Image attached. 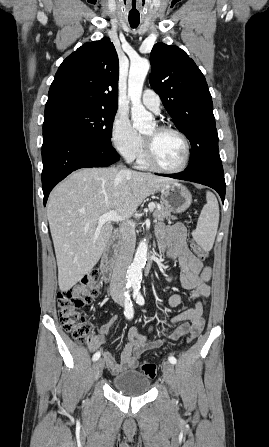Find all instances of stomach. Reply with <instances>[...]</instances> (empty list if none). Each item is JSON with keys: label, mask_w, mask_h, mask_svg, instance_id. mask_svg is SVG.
<instances>
[{"label": "stomach", "mask_w": 269, "mask_h": 447, "mask_svg": "<svg viewBox=\"0 0 269 447\" xmlns=\"http://www.w3.org/2000/svg\"><path fill=\"white\" fill-rule=\"evenodd\" d=\"M161 200L167 210L174 212V214H181L191 206L192 196L185 186L169 184V186L162 188Z\"/></svg>", "instance_id": "obj_1"}]
</instances>
